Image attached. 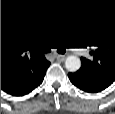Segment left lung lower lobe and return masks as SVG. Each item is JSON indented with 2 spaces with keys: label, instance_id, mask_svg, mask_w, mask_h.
Instances as JSON below:
<instances>
[{
  "label": "left lung lower lobe",
  "instance_id": "0a47b994",
  "mask_svg": "<svg viewBox=\"0 0 115 114\" xmlns=\"http://www.w3.org/2000/svg\"><path fill=\"white\" fill-rule=\"evenodd\" d=\"M68 77L72 84L86 92H100L110 86L114 81L87 73H69Z\"/></svg>",
  "mask_w": 115,
  "mask_h": 114
}]
</instances>
